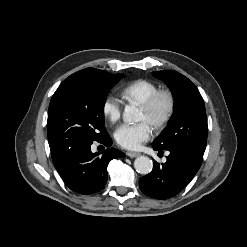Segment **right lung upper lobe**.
<instances>
[{
	"label": "right lung upper lobe",
	"instance_id": "1",
	"mask_svg": "<svg viewBox=\"0 0 247 247\" xmlns=\"http://www.w3.org/2000/svg\"><path fill=\"white\" fill-rule=\"evenodd\" d=\"M85 71H95V72H105V71H102V70H99V69H94V68H86L84 69Z\"/></svg>",
	"mask_w": 247,
	"mask_h": 247
}]
</instances>
